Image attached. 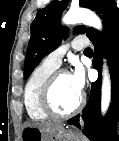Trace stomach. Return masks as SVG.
<instances>
[{
    "label": "stomach",
    "mask_w": 119,
    "mask_h": 141,
    "mask_svg": "<svg viewBox=\"0 0 119 141\" xmlns=\"http://www.w3.org/2000/svg\"><path fill=\"white\" fill-rule=\"evenodd\" d=\"M21 141H82L81 137L72 131L63 129H44L36 126H26L22 129Z\"/></svg>",
    "instance_id": "obj_1"
}]
</instances>
